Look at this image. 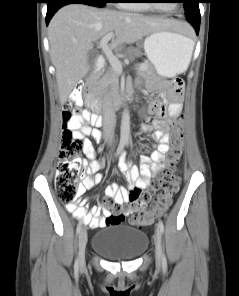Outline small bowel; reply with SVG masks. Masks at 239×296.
I'll return each mask as SVG.
<instances>
[{"label":"small bowel","instance_id":"c3829d8e","mask_svg":"<svg viewBox=\"0 0 239 296\" xmlns=\"http://www.w3.org/2000/svg\"><path fill=\"white\" fill-rule=\"evenodd\" d=\"M182 90L183 83L178 79L175 80L170 103L167 105L166 94L163 92L149 107V113L156 115L157 118L153 120L152 123L143 124L141 130L144 133H151L152 138L158 141L157 149L154 150L150 156H142L139 167L126 162L124 154L121 155L119 170L125 176L128 186L124 188L113 183L106 188L105 192L116 204L121 205L125 202H133L136 199V194L147 188L151 184L152 179L165 169L166 154L170 150L169 132L181 112ZM82 119L95 124L97 116L91 114L89 111H84ZM70 125L74 134L83 138L85 155L88 158H93L95 152L92 140L87 138V136H91L92 139L98 141L102 137L101 132L89 126L81 127L77 120L72 121ZM100 167L101 163L97 161H92L88 164L85 163V175L82 179L80 191L90 190L102 181V174L99 173ZM68 210L81 222L89 225L91 228L106 226L105 220L109 216V211L106 208H103L100 214V210L96 206L91 207L90 213H86L82 209L74 211L68 208ZM129 214L130 211H126L123 213V216L127 217Z\"/></svg>","mask_w":239,"mask_h":296}]
</instances>
